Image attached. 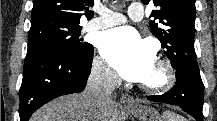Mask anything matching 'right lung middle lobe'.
Masks as SVG:
<instances>
[{
    "mask_svg": "<svg viewBox=\"0 0 217 121\" xmlns=\"http://www.w3.org/2000/svg\"><path fill=\"white\" fill-rule=\"evenodd\" d=\"M81 26L55 19L31 23L27 55L38 52H62L75 56L85 55L91 44L79 38Z\"/></svg>",
    "mask_w": 217,
    "mask_h": 121,
    "instance_id": "right-lung-middle-lobe-1",
    "label": "right lung middle lobe"
}]
</instances>
